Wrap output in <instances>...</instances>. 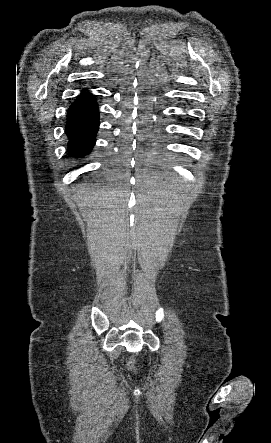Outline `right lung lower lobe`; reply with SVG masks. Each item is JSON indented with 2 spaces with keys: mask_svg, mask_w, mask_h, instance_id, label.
I'll list each match as a JSON object with an SVG mask.
<instances>
[{
  "mask_svg": "<svg viewBox=\"0 0 271 443\" xmlns=\"http://www.w3.org/2000/svg\"><path fill=\"white\" fill-rule=\"evenodd\" d=\"M95 96L83 91L67 112L66 134L69 152L76 157L88 154L95 144L99 126L98 104Z\"/></svg>",
  "mask_w": 271,
  "mask_h": 443,
  "instance_id": "obj_1",
  "label": "right lung lower lobe"
}]
</instances>
